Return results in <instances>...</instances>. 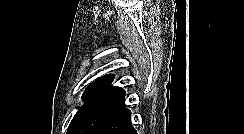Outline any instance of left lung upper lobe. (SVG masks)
<instances>
[{
	"label": "left lung upper lobe",
	"mask_w": 244,
	"mask_h": 134,
	"mask_svg": "<svg viewBox=\"0 0 244 134\" xmlns=\"http://www.w3.org/2000/svg\"><path fill=\"white\" fill-rule=\"evenodd\" d=\"M114 75L92 82L82 99L85 103L73 117L67 134H94L98 127L125 106V91L111 83Z\"/></svg>",
	"instance_id": "5c2ea615"
}]
</instances>
